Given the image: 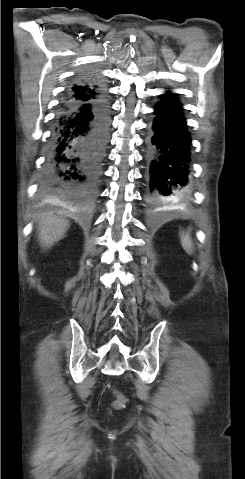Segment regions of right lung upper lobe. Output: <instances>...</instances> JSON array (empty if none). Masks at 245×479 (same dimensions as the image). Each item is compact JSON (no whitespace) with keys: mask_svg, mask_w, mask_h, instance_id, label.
I'll list each match as a JSON object with an SVG mask.
<instances>
[{"mask_svg":"<svg viewBox=\"0 0 245 479\" xmlns=\"http://www.w3.org/2000/svg\"><path fill=\"white\" fill-rule=\"evenodd\" d=\"M105 94L101 84L94 76L88 75L86 80L79 84H74L66 95L65 101L85 103L97 99Z\"/></svg>","mask_w":245,"mask_h":479,"instance_id":"obj_1","label":"right lung upper lobe"}]
</instances>
